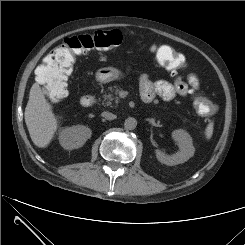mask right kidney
<instances>
[{"label": "right kidney", "instance_id": "1", "mask_svg": "<svg viewBox=\"0 0 245 245\" xmlns=\"http://www.w3.org/2000/svg\"><path fill=\"white\" fill-rule=\"evenodd\" d=\"M91 134V130L83 125L67 127L59 133V142L64 149H78L91 137Z\"/></svg>", "mask_w": 245, "mask_h": 245}]
</instances>
